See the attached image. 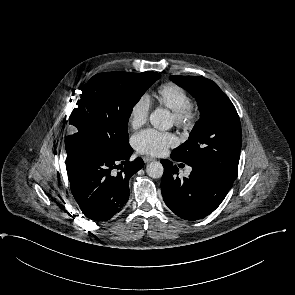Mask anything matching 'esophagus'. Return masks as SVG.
<instances>
[{
    "label": "esophagus",
    "instance_id": "34e87169",
    "mask_svg": "<svg viewBox=\"0 0 295 295\" xmlns=\"http://www.w3.org/2000/svg\"><path fill=\"white\" fill-rule=\"evenodd\" d=\"M143 160H144L145 163H149V162L155 161L156 159L153 158V157L144 156Z\"/></svg>",
    "mask_w": 295,
    "mask_h": 295
}]
</instances>
